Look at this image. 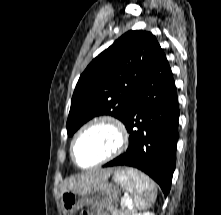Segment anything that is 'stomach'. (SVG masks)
<instances>
[{
	"mask_svg": "<svg viewBox=\"0 0 221 215\" xmlns=\"http://www.w3.org/2000/svg\"><path fill=\"white\" fill-rule=\"evenodd\" d=\"M120 191L118 182L102 181L85 189L65 190L61 195V203L68 215H73L84 206L113 209L119 199Z\"/></svg>",
	"mask_w": 221,
	"mask_h": 215,
	"instance_id": "obj_1",
	"label": "stomach"
}]
</instances>
